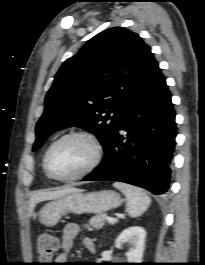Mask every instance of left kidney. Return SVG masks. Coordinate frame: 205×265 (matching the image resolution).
Instances as JSON below:
<instances>
[{
    "label": "left kidney",
    "mask_w": 205,
    "mask_h": 265,
    "mask_svg": "<svg viewBox=\"0 0 205 265\" xmlns=\"http://www.w3.org/2000/svg\"><path fill=\"white\" fill-rule=\"evenodd\" d=\"M146 231L140 226H132L121 232L115 241L117 248L122 244L130 245L129 251L126 253L129 263H141L144 245H145Z\"/></svg>",
    "instance_id": "left-kidney-1"
}]
</instances>
